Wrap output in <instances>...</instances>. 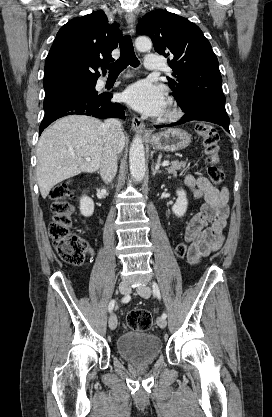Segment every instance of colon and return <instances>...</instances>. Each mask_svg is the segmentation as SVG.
<instances>
[{"label": "colon", "instance_id": "1", "mask_svg": "<svg viewBox=\"0 0 272 417\" xmlns=\"http://www.w3.org/2000/svg\"><path fill=\"white\" fill-rule=\"evenodd\" d=\"M196 131L203 140L209 163L208 177L213 184L219 185L224 181V173L219 165L218 132L214 126L206 123L198 124ZM72 196L73 191L68 182L56 185L50 192L52 219L49 224V235L59 257L64 262L78 265L83 262L89 244L71 230L74 221V208L69 199ZM188 249L189 245L181 242L175 246L174 252L178 258H183L186 256ZM152 324V315L147 310L137 309L127 315V325L133 330L147 331L152 327Z\"/></svg>", "mask_w": 272, "mask_h": 417}]
</instances>
